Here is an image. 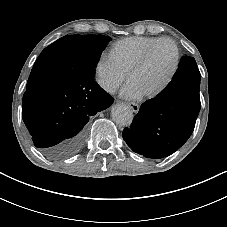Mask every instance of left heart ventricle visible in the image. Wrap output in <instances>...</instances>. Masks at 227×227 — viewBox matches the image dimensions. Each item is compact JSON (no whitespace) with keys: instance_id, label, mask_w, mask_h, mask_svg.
I'll return each instance as SVG.
<instances>
[{"instance_id":"b2bd125f","label":"left heart ventricle","mask_w":227,"mask_h":227,"mask_svg":"<svg viewBox=\"0 0 227 227\" xmlns=\"http://www.w3.org/2000/svg\"><path fill=\"white\" fill-rule=\"evenodd\" d=\"M175 51L167 42L159 43L152 50L146 65L132 76V83L143 95L154 91L167 77L173 64Z\"/></svg>"}]
</instances>
